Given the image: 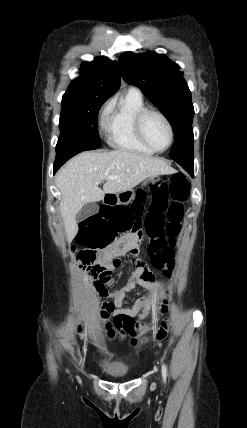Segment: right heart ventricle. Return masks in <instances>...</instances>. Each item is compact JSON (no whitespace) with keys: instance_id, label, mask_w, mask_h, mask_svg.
I'll return each instance as SVG.
<instances>
[{"instance_id":"1","label":"right heart ventricle","mask_w":247,"mask_h":428,"mask_svg":"<svg viewBox=\"0 0 247 428\" xmlns=\"http://www.w3.org/2000/svg\"><path fill=\"white\" fill-rule=\"evenodd\" d=\"M145 108V100L137 88H129L110 105L104 128L111 147L145 155L154 153L140 141L135 130L136 115Z\"/></svg>"}]
</instances>
